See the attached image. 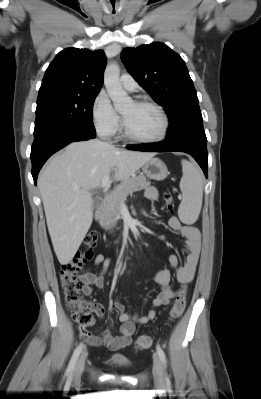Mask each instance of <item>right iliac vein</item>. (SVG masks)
I'll use <instances>...</instances> for the list:
<instances>
[{
    "instance_id": "63e3f726",
    "label": "right iliac vein",
    "mask_w": 261,
    "mask_h": 399,
    "mask_svg": "<svg viewBox=\"0 0 261 399\" xmlns=\"http://www.w3.org/2000/svg\"><path fill=\"white\" fill-rule=\"evenodd\" d=\"M85 359H86V353H83L79 357V359L75 365V369H74V373H73L75 377H78L82 374V372L84 370V366H85Z\"/></svg>"
}]
</instances>
